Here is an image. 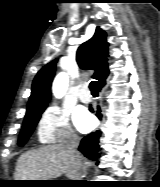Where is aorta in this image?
Returning <instances> with one entry per match:
<instances>
[{"label":"aorta","instance_id":"aorta-1","mask_svg":"<svg viewBox=\"0 0 160 187\" xmlns=\"http://www.w3.org/2000/svg\"><path fill=\"white\" fill-rule=\"evenodd\" d=\"M68 88V76L66 73L61 72L59 73L54 82H53V87L52 91L55 97L61 98L65 93Z\"/></svg>","mask_w":160,"mask_h":187}]
</instances>
